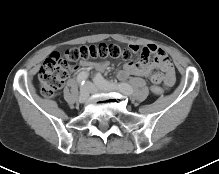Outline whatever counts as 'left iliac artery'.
I'll list each match as a JSON object with an SVG mask.
<instances>
[{
    "label": "left iliac artery",
    "mask_w": 219,
    "mask_h": 174,
    "mask_svg": "<svg viewBox=\"0 0 219 174\" xmlns=\"http://www.w3.org/2000/svg\"><path fill=\"white\" fill-rule=\"evenodd\" d=\"M94 82H95V84H97L99 86L109 87V88H112L113 90H118L126 95L133 94V88L129 84H127V83H119V84L111 83V82L105 80L101 74H97L94 77Z\"/></svg>",
    "instance_id": "obj_1"
}]
</instances>
